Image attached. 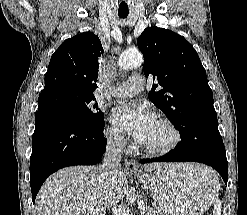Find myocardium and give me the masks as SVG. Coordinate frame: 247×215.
Masks as SVG:
<instances>
[{"label":"myocardium","mask_w":247,"mask_h":215,"mask_svg":"<svg viewBox=\"0 0 247 215\" xmlns=\"http://www.w3.org/2000/svg\"><path fill=\"white\" fill-rule=\"evenodd\" d=\"M157 121L169 131L170 139L165 145L158 148L147 147L140 143L141 151L151 157H161L170 153L178 146L181 140L180 131L170 119L160 116Z\"/></svg>","instance_id":"f54148a6"}]
</instances>
